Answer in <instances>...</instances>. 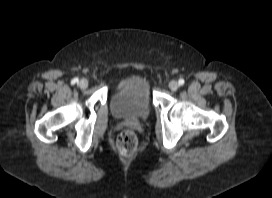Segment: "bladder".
Wrapping results in <instances>:
<instances>
[{"instance_id": "bladder-1", "label": "bladder", "mask_w": 272, "mask_h": 198, "mask_svg": "<svg viewBox=\"0 0 272 198\" xmlns=\"http://www.w3.org/2000/svg\"><path fill=\"white\" fill-rule=\"evenodd\" d=\"M111 114L119 120H145L151 109L148 85L137 83L116 91L109 100Z\"/></svg>"}]
</instances>
